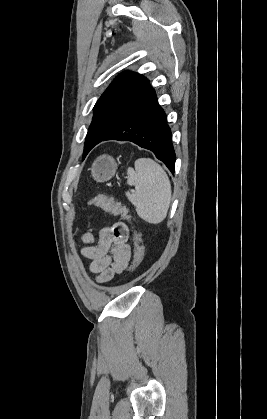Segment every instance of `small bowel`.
I'll return each instance as SVG.
<instances>
[{"label": "small bowel", "instance_id": "obj_1", "mask_svg": "<svg viewBox=\"0 0 267 419\" xmlns=\"http://www.w3.org/2000/svg\"><path fill=\"white\" fill-rule=\"evenodd\" d=\"M128 236V227L122 222L103 227L99 231L97 244H94L92 234L83 235L86 245L81 249V254L90 260L89 270L96 275L97 283L109 282L126 270L131 257Z\"/></svg>", "mask_w": 267, "mask_h": 419}]
</instances>
